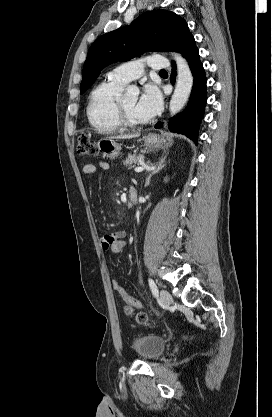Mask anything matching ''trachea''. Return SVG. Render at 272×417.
<instances>
[{"label":"trachea","mask_w":272,"mask_h":417,"mask_svg":"<svg viewBox=\"0 0 272 417\" xmlns=\"http://www.w3.org/2000/svg\"><path fill=\"white\" fill-rule=\"evenodd\" d=\"M160 73H167L165 70H161Z\"/></svg>","instance_id":"3493384b"}]
</instances>
